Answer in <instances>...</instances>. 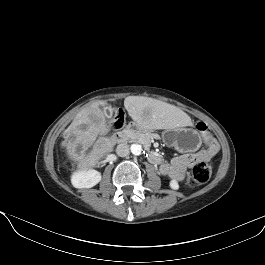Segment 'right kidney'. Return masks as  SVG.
Returning <instances> with one entry per match:
<instances>
[{
	"label": "right kidney",
	"instance_id": "1",
	"mask_svg": "<svg viewBox=\"0 0 265 265\" xmlns=\"http://www.w3.org/2000/svg\"><path fill=\"white\" fill-rule=\"evenodd\" d=\"M101 181V173L94 170H80L73 174L71 183L75 188H92Z\"/></svg>",
	"mask_w": 265,
	"mask_h": 265
}]
</instances>
